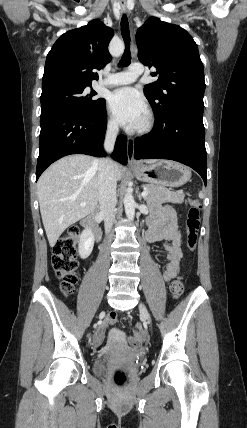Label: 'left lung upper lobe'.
Listing matches in <instances>:
<instances>
[{"mask_svg":"<svg viewBox=\"0 0 247 428\" xmlns=\"http://www.w3.org/2000/svg\"><path fill=\"white\" fill-rule=\"evenodd\" d=\"M138 58L158 80L145 85L144 94L155 116L161 117L178 104L204 109V67L198 47L180 26L151 17L138 29Z\"/></svg>","mask_w":247,"mask_h":428,"instance_id":"5c2ea615","label":"left lung upper lobe"}]
</instances>
